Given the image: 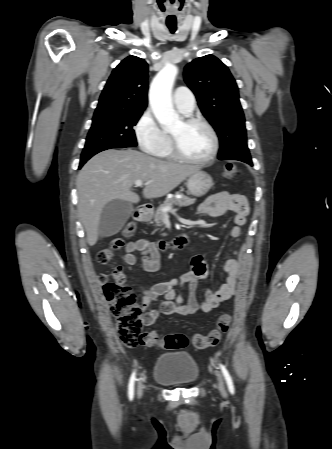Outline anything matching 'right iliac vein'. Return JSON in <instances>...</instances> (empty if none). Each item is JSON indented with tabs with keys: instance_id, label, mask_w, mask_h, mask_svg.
<instances>
[{
	"instance_id": "1",
	"label": "right iliac vein",
	"mask_w": 332,
	"mask_h": 449,
	"mask_svg": "<svg viewBox=\"0 0 332 449\" xmlns=\"http://www.w3.org/2000/svg\"><path fill=\"white\" fill-rule=\"evenodd\" d=\"M143 394V379H140L137 385V396L141 397Z\"/></svg>"
}]
</instances>
